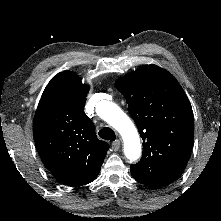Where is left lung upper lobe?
I'll use <instances>...</instances> for the list:
<instances>
[{
  "label": "left lung upper lobe",
  "instance_id": "1",
  "mask_svg": "<svg viewBox=\"0 0 221 221\" xmlns=\"http://www.w3.org/2000/svg\"><path fill=\"white\" fill-rule=\"evenodd\" d=\"M115 86L143 139L142 158L130 166L133 178L152 187L169 185L185 168L193 145V112L185 92L154 64L139 67Z\"/></svg>",
  "mask_w": 221,
  "mask_h": 221
}]
</instances>
